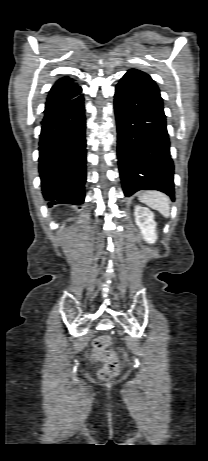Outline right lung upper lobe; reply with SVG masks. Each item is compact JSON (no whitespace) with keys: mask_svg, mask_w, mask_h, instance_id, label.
I'll return each instance as SVG.
<instances>
[{"mask_svg":"<svg viewBox=\"0 0 208 461\" xmlns=\"http://www.w3.org/2000/svg\"><path fill=\"white\" fill-rule=\"evenodd\" d=\"M82 89L70 77L58 79L48 93L46 106L66 101L78 96Z\"/></svg>","mask_w":208,"mask_h":461,"instance_id":"cb5924a9","label":"right lung upper lobe"}]
</instances>
